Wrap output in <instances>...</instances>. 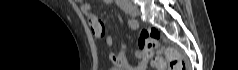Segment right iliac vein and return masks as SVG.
Returning a JSON list of instances; mask_svg holds the SVG:
<instances>
[{"mask_svg": "<svg viewBox=\"0 0 238 70\" xmlns=\"http://www.w3.org/2000/svg\"><path fill=\"white\" fill-rule=\"evenodd\" d=\"M122 9L126 12V13H128L129 15H131L132 17H136V16H138L139 15V9L136 7V6H134V5H132V4H125V5H123L122 6Z\"/></svg>", "mask_w": 238, "mask_h": 70, "instance_id": "right-iliac-vein-1", "label": "right iliac vein"}]
</instances>
